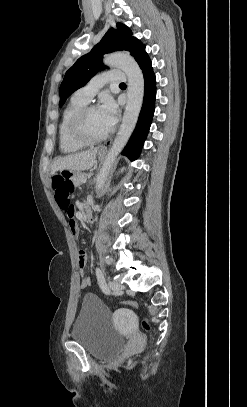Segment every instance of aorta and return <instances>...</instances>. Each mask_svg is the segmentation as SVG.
Listing matches in <instances>:
<instances>
[{
	"label": "aorta",
	"instance_id": "obj_1",
	"mask_svg": "<svg viewBox=\"0 0 247 407\" xmlns=\"http://www.w3.org/2000/svg\"><path fill=\"white\" fill-rule=\"evenodd\" d=\"M104 64L118 67L125 72L128 78L127 104L125 107L122 124L113 141L110 151L96 177V190L103 188L112 169L114 161L131 136L144 96V78L142 71L133 57L127 53H112L104 58Z\"/></svg>",
	"mask_w": 247,
	"mask_h": 407
}]
</instances>
